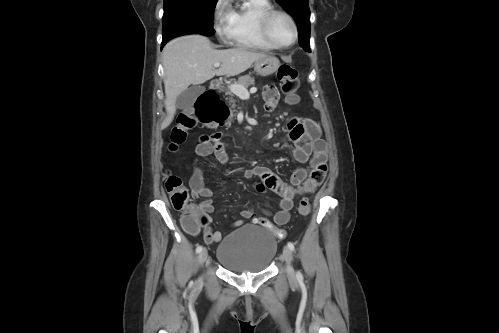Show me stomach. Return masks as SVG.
<instances>
[{"instance_id":"obj_1","label":"stomach","mask_w":499,"mask_h":333,"mask_svg":"<svg viewBox=\"0 0 499 333\" xmlns=\"http://www.w3.org/2000/svg\"><path fill=\"white\" fill-rule=\"evenodd\" d=\"M279 66L280 62L276 57L267 56L255 61L254 70L260 76H269L275 73Z\"/></svg>"}]
</instances>
